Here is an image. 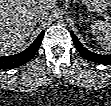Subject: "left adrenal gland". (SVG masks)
Segmentation results:
<instances>
[{"label": "left adrenal gland", "mask_w": 111, "mask_h": 106, "mask_svg": "<svg viewBox=\"0 0 111 106\" xmlns=\"http://www.w3.org/2000/svg\"><path fill=\"white\" fill-rule=\"evenodd\" d=\"M79 16H80V20L82 21L83 20V17L81 16V14L79 13Z\"/></svg>", "instance_id": "a2214340"}]
</instances>
